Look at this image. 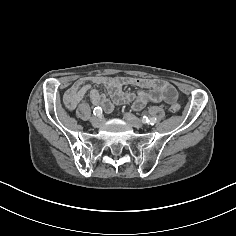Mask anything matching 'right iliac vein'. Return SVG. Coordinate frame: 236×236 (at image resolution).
I'll return each instance as SVG.
<instances>
[{
  "instance_id": "obj_1",
  "label": "right iliac vein",
  "mask_w": 236,
  "mask_h": 236,
  "mask_svg": "<svg viewBox=\"0 0 236 236\" xmlns=\"http://www.w3.org/2000/svg\"><path fill=\"white\" fill-rule=\"evenodd\" d=\"M90 122L95 127H99L102 124V121L96 117L91 118Z\"/></svg>"
}]
</instances>
